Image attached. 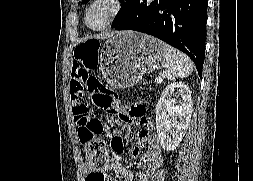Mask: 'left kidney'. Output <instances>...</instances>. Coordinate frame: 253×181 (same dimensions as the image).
Returning a JSON list of instances; mask_svg holds the SVG:
<instances>
[{
    "instance_id": "left-kidney-1",
    "label": "left kidney",
    "mask_w": 253,
    "mask_h": 181,
    "mask_svg": "<svg viewBox=\"0 0 253 181\" xmlns=\"http://www.w3.org/2000/svg\"><path fill=\"white\" fill-rule=\"evenodd\" d=\"M193 102L189 87L183 82L168 85L156 106V129L164 150H175L189 126Z\"/></svg>"
}]
</instances>
